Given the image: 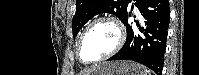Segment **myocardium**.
<instances>
[{
  "label": "myocardium",
  "instance_id": "myocardium-1",
  "mask_svg": "<svg viewBox=\"0 0 199 75\" xmlns=\"http://www.w3.org/2000/svg\"><path fill=\"white\" fill-rule=\"evenodd\" d=\"M101 23L110 24L116 30L117 40H116L115 46L113 47L112 50H110L109 52H107L106 54L101 56L100 58L93 60V61H85L82 59L81 54H80L83 39L85 38L86 34L92 29V27H94L97 24H101ZM125 37H126L125 29H124L122 23L117 18H115L113 16L97 17V18L93 19L86 26V28L84 29V31L82 32V34L80 35V37L78 39L77 46H76L77 58L82 64H86V65L96 64L101 61H104V60L110 58L111 56L115 55L122 48V46L125 42Z\"/></svg>",
  "mask_w": 199,
  "mask_h": 75
}]
</instances>
